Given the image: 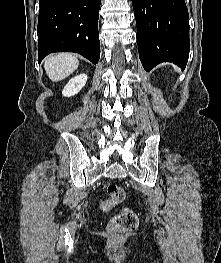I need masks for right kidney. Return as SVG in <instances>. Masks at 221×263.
Masks as SVG:
<instances>
[{
	"mask_svg": "<svg viewBox=\"0 0 221 263\" xmlns=\"http://www.w3.org/2000/svg\"><path fill=\"white\" fill-rule=\"evenodd\" d=\"M87 79L88 77L84 73L73 77L64 87L62 95L64 97H71L76 95L85 86Z\"/></svg>",
	"mask_w": 221,
	"mask_h": 263,
	"instance_id": "1",
	"label": "right kidney"
}]
</instances>
